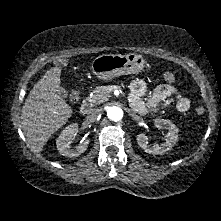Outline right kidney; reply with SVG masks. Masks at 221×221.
I'll return each mask as SVG.
<instances>
[{"instance_id": "ca27d5eb", "label": "right kidney", "mask_w": 221, "mask_h": 221, "mask_svg": "<svg viewBox=\"0 0 221 221\" xmlns=\"http://www.w3.org/2000/svg\"><path fill=\"white\" fill-rule=\"evenodd\" d=\"M78 131V124L67 126L59 135L56 145L61 155L66 157H77L87 150L89 139H83L76 147H71V138Z\"/></svg>"}]
</instances>
